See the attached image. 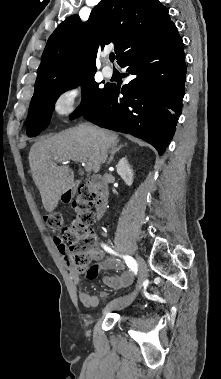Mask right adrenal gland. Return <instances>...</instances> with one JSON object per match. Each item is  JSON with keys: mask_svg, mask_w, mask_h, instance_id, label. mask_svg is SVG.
Instances as JSON below:
<instances>
[{"mask_svg": "<svg viewBox=\"0 0 221 379\" xmlns=\"http://www.w3.org/2000/svg\"><path fill=\"white\" fill-rule=\"evenodd\" d=\"M126 145V144H125ZM124 145L123 144H120L119 146H116V145H113L112 146V150H111V155H110V158L107 162V164L109 165L113 159H114V155L123 147Z\"/></svg>", "mask_w": 221, "mask_h": 379, "instance_id": "right-adrenal-gland-1", "label": "right adrenal gland"}]
</instances>
